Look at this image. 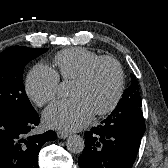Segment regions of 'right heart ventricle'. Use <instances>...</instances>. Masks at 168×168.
<instances>
[{
  "instance_id": "1",
  "label": "right heart ventricle",
  "mask_w": 168,
  "mask_h": 168,
  "mask_svg": "<svg viewBox=\"0 0 168 168\" xmlns=\"http://www.w3.org/2000/svg\"><path fill=\"white\" fill-rule=\"evenodd\" d=\"M98 57L100 55L94 51L75 47L58 52L54 57V62L62 79L72 81L83 72L91 61Z\"/></svg>"
}]
</instances>
